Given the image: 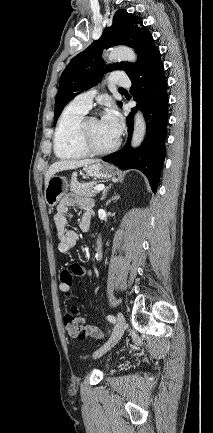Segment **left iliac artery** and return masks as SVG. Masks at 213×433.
<instances>
[{
	"label": "left iliac artery",
	"instance_id": "obj_1",
	"mask_svg": "<svg viewBox=\"0 0 213 433\" xmlns=\"http://www.w3.org/2000/svg\"><path fill=\"white\" fill-rule=\"evenodd\" d=\"M108 321H110L111 323H115V317L113 315H108L107 316Z\"/></svg>",
	"mask_w": 213,
	"mask_h": 433
}]
</instances>
